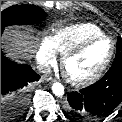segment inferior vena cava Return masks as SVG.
Listing matches in <instances>:
<instances>
[{
    "label": "inferior vena cava",
    "mask_w": 122,
    "mask_h": 122,
    "mask_svg": "<svg viewBox=\"0 0 122 122\" xmlns=\"http://www.w3.org/2000/svg\"><path fill=\"white\" fill-rule=\"evenodd\" d=\"M37 70L40 72V73H44V74H48L51 72V67L47 64H38L37 65Z\"/></svg>",
    "instance_id": "obj_1"
}]
</instances>
